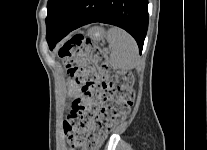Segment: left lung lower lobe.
Listing matches in <instances>:
<instances>
[{
  "label": "left lung lower lobe",
  "mask_w": 207,
  "mask_h": 150,
  "mask_svg": "<svg viewBox=\"0 0 207 150\" xmlns=\"http://www.w3.org/2000/svg\"><path fill=\"white\" fill-rule=\"evenodd\" d=\"M148 0H70L54 26L47 31L50 49L72 30L101 22L130 33L142 52L148 28Z\"/></svg>",
  "instance_id": "obj_1"
}]
</instances>
